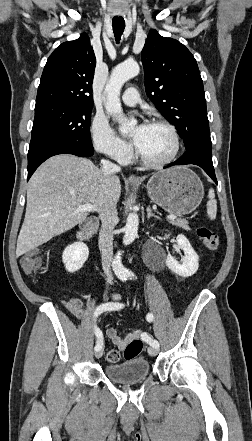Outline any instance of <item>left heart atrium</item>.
Wrapping results in <instances>:
<instances>
[{"label":"left heart atrium","instance_id":"left-heart-atrium-1","mask_svg":"<svg viewBox=\"0 0 252 441\" xmlns=\"http://www.w3.org/2000/svg\"><path fill=\"white\" fill-rule=\"evenodd\" d=\"M145 126H146V125H144V124L140 125V126L138 127V132H137V134H136V135L133 137V139H132L133 144H134L135 147H137V148L140 146V143H141V135H142V132H143Z\"/></svg>","mask_w":252,"mask_h":441}]
</instances>
